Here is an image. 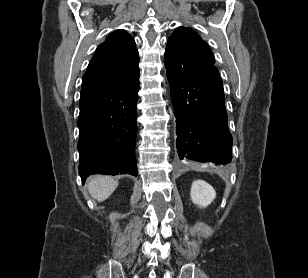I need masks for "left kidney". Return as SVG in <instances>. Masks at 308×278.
<instances>
[{
  "instance_id": "1",
  "label": "left kidney",
  "mask_w": 308,
  "mask_h": 278,
  "mask_svg": "<svg viewBox=\"0 0 308 278\" xmlns=\"http://www.w3.org/2000/svg\"><path fill=\"white\" fill-rule=\"evenodd\" d=\"M191 200L200 208H205L216 198L215 190L203 180H196L191 187Z\"/></svg>"
}]
</instances>
